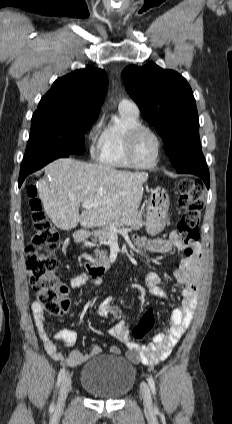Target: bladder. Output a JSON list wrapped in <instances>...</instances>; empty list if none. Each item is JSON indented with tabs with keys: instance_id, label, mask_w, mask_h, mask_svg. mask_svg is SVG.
<instances>
[{
	"instance_id": "obj_1",
	"label": "bladder",
	"mask_w": 232,
	"mask_h": 424,
	"mask_svg": "<svg viewBox=\"0 0 232 424\" xmlns=\"http://www.w3.org/2000/svg\"><path fill=\"white\" fill-rule=\"evenodd\" d=\"M135 382V368L124 357L99 355L86 362L80 378L81 387L92 396L119 399Z\"/></svg>"
}]
</instances>
